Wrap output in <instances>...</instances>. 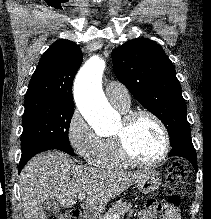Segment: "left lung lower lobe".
Masks as SVG:
<instances>
[{
	"label": "left lung lower lobe",
	"mask_w": 211,
	"mask_h": 219,
	"mask_svg": "<svg viewBox=\"0 0 211 219\" xmlns=\"http://www.w3.org/2000/svg\"><path fill=\"white\" fill-rule=\"evenodd\" d=\"M171 147L172 149L169 157L179 156L186 158L192 163L194 169L197 171L196 151L192 144L191 134L181 136Z\"/></svg>",
	"instance_id": "obj_1"
}]
</instances>
